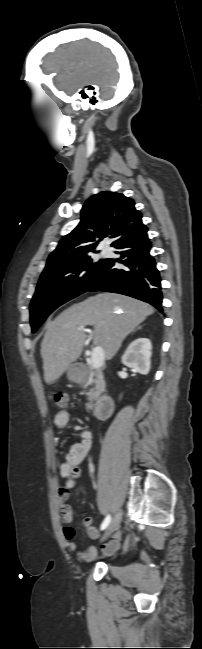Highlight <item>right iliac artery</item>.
Wrapping results in <instances>:
<instances>
[{
  "label": "right iliac artery",
  "instance_id": "right-iliac-artery-1",
  "mask_svg": "<svg viewBox=\"0 0 202 649\" xmlns=\"http://www.w3.org/2000/svg\"><path fill=\"white\" fill-rule=\"evenodd\" d=\"M110 522H111V516L108 515V516L104 519V521H103V523H102V525H101V530H104V529L109 525Z\"/></svg>",
  "mask_w": 202,
  "mask_h": 649
}]
</instances>
